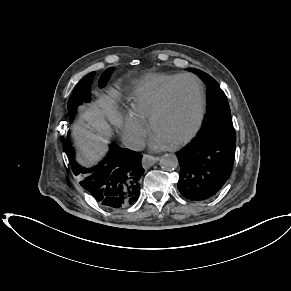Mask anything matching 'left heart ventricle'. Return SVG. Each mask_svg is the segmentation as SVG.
<instances>
[{
    "label": "left heart ventricle",
    "instance_id": "left-heart-ventricle-1",
    "mask_svg": "<svg viewBox=\"0 0 291 291\" xmlns=\"http://www.w3.org/2000/svg\"><path fill=\"white\" fill-rule=\"evenodd\" d=\"M198 111V90L192 80L183 81L174 92L168 109L156 120L154 134L173 143L194 126Z\"/></svg>",
    "mask_w": 291,
    "mask_h": 291
}]
</instances>
